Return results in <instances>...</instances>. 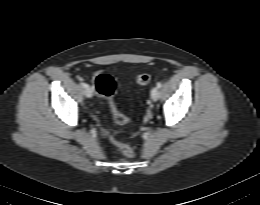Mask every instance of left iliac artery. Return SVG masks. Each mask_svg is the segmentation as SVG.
I'll return each instance as SVG.
<instances>
[{"instance_id":"44dca946","label":"left iliac artery","mask_w":260,"mask_h":205,"mask_svg":"<svg viewBox=\"0 0 260 205\" xmlns=\"http://www.w3.org/2000/svg\"><path fill=\"white\" fill-rule=\"evenodd\" d=\"M157 87H158V88H161V87H162V83H161V82H158V83H157Z\"/></svg>"}]
</instances>
